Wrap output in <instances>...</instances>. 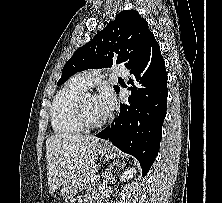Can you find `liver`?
I'll return each instance as SVG.
<instances>
[{
  "instance_id": "6515ba94",
  "label": "liver",
  "mask_w": 222,
  "mask_h": 203,
  "mask_svg": "<svg viewBox=\"0 0 222 203\" xmlns=\"http://www.w3.org/2000/svg\"><path fill=\"white\" fill-rule=\"evenodd\" d=\"M99 139L93 136L54 134L46 140L49 193L87 172L95 163Z\"/></svg>"
}]
</instances>
